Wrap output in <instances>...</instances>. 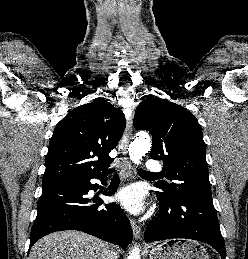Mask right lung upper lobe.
I'll list each match as a JSON object with an SVG mask.
<instances>
[{"label":"right lung upper lobe","instance_id":"cb5924a9","mask_svg":"<svg viewBox=\"0 0 248 259\" xmlns=\"http://www.w3.org/2000/svg\"><path fill=\"white\" fill-rule=\"evenodd\" d=\"M123 112L97 100L70 111L50 139L42 185L87 178L107 171L109 153L124 131ZM94 157L98 160H92Z\"/></svg>","mask_w":248,"mask_h":259}]
</instances>
